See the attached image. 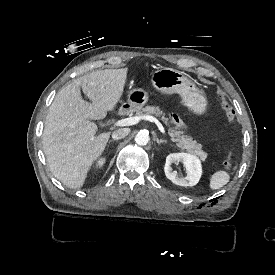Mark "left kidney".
<instances>
[{"label": "left kidney", "mask_w": 275, "mask_h": 275, "mask_svg": "<svg viewBox=\"0 0 275 275\" xmlns=\"http://www.w3.org/2000/svg\"><path fill=\"white\" fill-rule=\"evenodd\" d=\"M182 162L186 169V177H179L173 171L171 164ZM165 175L173 183L180 186H194L198 183L201 176L200 161L193 155L187 153H173L166 157L164 166Z\"/></svg>", "instance_id": "left-kidney-1"}]
</instances>
